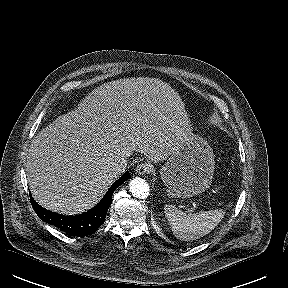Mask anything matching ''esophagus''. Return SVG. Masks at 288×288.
<instances>
[{"label": "esophagus", "mask_w": 288, "mask_h": 288, "mask_svg": "<svg viewBox=\"0 0 288 288\" xmlns=\"http://www.w3.org/2000/svg\"><path fill=\"white\" fill-rule=\"evenodd\" d=\"M152 170L153 168L149 163L143 162L137 166L136 173L139 175H144L151 173Z\"/></svg>", "instance_id": "obj_1"}]
</instances>
